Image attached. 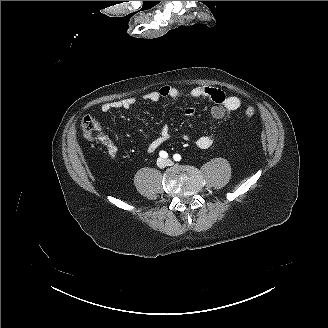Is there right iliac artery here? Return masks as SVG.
I'll use <instances>...</instances> for the list:
<instances>
[{
    "mask_svg": "<svg viewBox=\"0 0 328 328\" xmlns=\"http://www.w3.org/2000/svg\"><path fill=\"white\" fill-rule=\"evenodd\" d=\"M159 155H160V157H162V158H167V157H168V154H167V152H165V151H161V152L159 153Z\"/></svg>",
    "mask_w": 328,
    "mask_h": 328,
    "instance_id": "obj_1",
    "label": "right iliac artery"
}]
</instances>
